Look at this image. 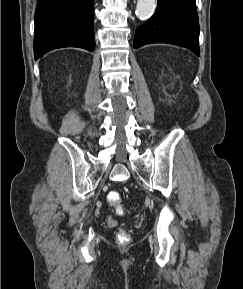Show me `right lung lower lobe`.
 Returning a JSON list of instances; mask_svg holds the SVG:
<instances>
[{
	"instance_id": "obj_1",
	"label": "right lung lower lobe",
	"mask_w": 243,
	"mask_h": 289,
	"mask_svg": "<svg viewBox=\"0 0 243 289\" xmlns=\"http://www.w3.org/2000/svg\"><path fill=\"white\" fill-rule=\"evenodd\" d=\"M93 0H37L34 55L61 47L95 48Z\"/></svg>"
}]
</instances>
